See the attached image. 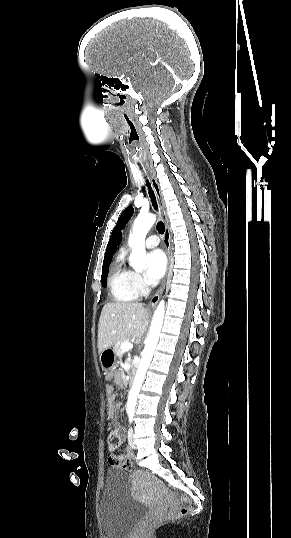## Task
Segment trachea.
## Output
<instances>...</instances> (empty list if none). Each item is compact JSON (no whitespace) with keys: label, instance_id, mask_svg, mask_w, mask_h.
<instances>
[{"label":"trachea","instance_id":"obj_1","mask_svg":"<svg viewBox=\"0 0 291 538\" xmlns=\"http://www.w3.org/2000/svg\"><path fill=\"white\" fill-rule=\"evenodd\" d=\"M146 186L148 187V193L152 202V206L154 207L155 210H158V205H157L155 194L151 188L150 182L147 179H146ZM157 230L160 234H163L165 232V226L162 221H159L157 223Z\"/></svg>","mask_w":291,"mask_h":538}]
</instances>
